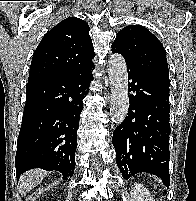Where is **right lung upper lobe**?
Wrapping results in <instances>:
<instances>
[{
	"instance_id": "cb5924a9",
	"label": "right lung upper lobe",
	"mask_w": 196,
	"mask_h": 201,
	"mask_svg": "<svg viewBox=\"0 0 196 201\" xmlns=\"http://www.w3.org/2000/svg\"><path fill=\"white\" fill-rule=\"evenodd\" d=\"M89 25L76 17L58 23L43 37L30 66L28 83L80 71L95 56Z\"/></svg>"
}]
</instances>
